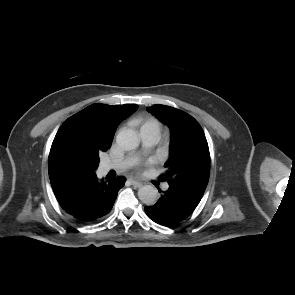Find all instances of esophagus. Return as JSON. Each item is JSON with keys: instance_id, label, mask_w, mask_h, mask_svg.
<instances>
[{"instance_id": "1", "label": "esophagus", "mask_w": 295, "mask_h": 295, "mask_svg": "<svg viewBox=\"0 0 295 295\" xmlns=\"http://www.w3.org/2000/svg\"><path fill=\"white\" fill-rule=\"evenodd\" d=\"M131 184L134 186V187H141L142 186V183L139 182V181H136L134 179H131Z\"/></svg>"}]
</instances>
